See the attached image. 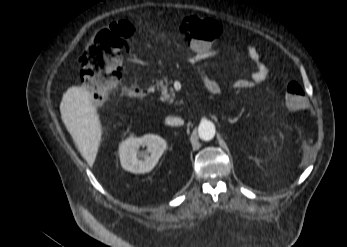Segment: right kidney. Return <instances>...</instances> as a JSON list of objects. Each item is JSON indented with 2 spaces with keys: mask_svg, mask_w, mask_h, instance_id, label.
<instances>
[{
  "mask_svg": "<svg viewBox=\"0 0 347 247\" xmlns=\"http://www.w3.org/2000/svg\"><path fill=\"white\" fill-rule=\"evenodd\" d=\"M140 146H147V150L140 151ZM165 149L166 141L158 135L146 134L141 138L130 137L119 147L121 166L124 170L135 174L150 172L158 163Z\"/></svg>",
  "mask_w": 347,
  "mask_h": 247,
  "instance_id": "right-kidney-1",
  "label": "right kidney"
}]
</instances>
